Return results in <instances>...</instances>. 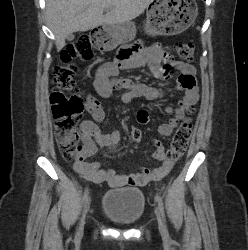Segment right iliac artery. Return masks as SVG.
Returning a JSON list of instances; mask_svg holds the SVG:
<instances>
[{"instance_id":"right-iliac-artery-1","label":"right iliac artery","mask_w":248,"mask_h":250,"mask_svg":"<svg viewBox=\"0 0 248 250\" xmlns=\"http://www.w3.org/2000/svg\"><path fill=\"white\" fill-rule=\"evenodd\" d=\"M88 194H89L88 189H86L82 196V201H81L82 207L85 205V202L87 201Z\"/></svg>"}]
</instances>
